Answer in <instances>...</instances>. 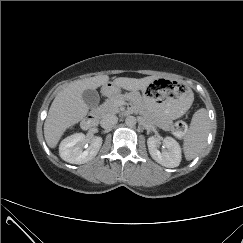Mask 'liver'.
<instances>
[{"label": "liver", "mask_w": 243, "mask_h": 243, "mask_svg": "<svg viewBox=\"0 0 243 243\" xmlns=\"http://www.w3.org/2000/svg\"><path fill=\"white\" fill-rule=\"evenodd\" d=\"M157 76L141 79L119 77L113 85L128 91L143 90L149 86ZM109 76L100 75L83 80H77L60 91L53 100L44 122V137L50 148H55L69 127L80 122L88 113L89 107L84 102L82 94L86 89H96L107 84Z\"/></svg>", "instance_id": "6515ba94"}]
</instances>
